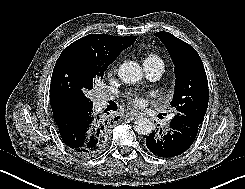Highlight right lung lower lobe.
Segmentation results:
<instances>
[{
    "mask_svg": "<svg viewBox=\"0 0 245 189\" xmlns=\"http://www.w3.org/2000/svg\"><path fill=\"white\" fill-rule=\"evenodd\" d=\"M92 106L80 109L56 121L63 142L80 154H96L108 140L113 121L92 114ZM119 119L116 117L114 120Z\"/></svg>",
    "mask_w": 245,
    "mask_h": 189,
    "instance_id": "right-lung-lower-lobe-1",
    "label": "right lung lower lobe"
}]
</instances>
